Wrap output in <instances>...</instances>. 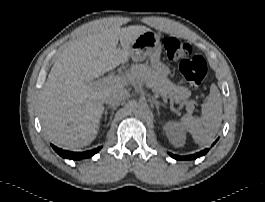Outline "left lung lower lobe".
Segmentation results:
<instances>
[{
    "label": "left lung lower lobe",
    "mask_w": 265,
    "mask_h": 202,
    "mask_svg": "<svg viewBox=\"0 0 265 202\" xmlns=\"http://www.w3.org/2000/svg\"><path fill=\"white\" fill-rule=\"evenodd\" d=\"M207 152H208V149H205V150H203V151H201V152H198V153H196V154H192V155H188V156H178V155H174V154H171V153H169V155H170L172 158L176 159V160H191V159H196V158H198V157H200V156H203V155H205Z\"/></svg>",
    "instance_id": "obj_1"
}]
</instances>
